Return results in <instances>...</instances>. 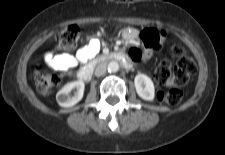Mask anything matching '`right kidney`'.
<instances>
[{
    "label": "right kidney",
    "instance_id": "ca27d5eb",
    "mask_svg": "<svg viewBox=\"0 0 225 155\" xmlns=\"http://www.w3.org/2000/svg\"><path fill=\"white\" fill-rule=\"evenodd\" d=\"M85 84L83 81H74L67 83L56 95L57 103L61 107H72L77 104L83 97ZM76 89L74 96L70 92Z\"/></svg>",
    "mask_w": 225,
    "mask_h": 155
}]
</instances>
